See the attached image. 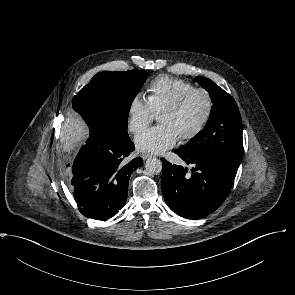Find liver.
Segmentation results:
<instances>
[{"label":"liver","instance_id":"liver-1","mask_svg":"<svg viewBox=\"0 0 295 295\" xmlns=\"http://www.w3.org/2000/svg\"><path fill=\"white\" fill-rule=\"evenodd\" d=\"M88 130L80 117L69 114L62 124L61 143L64 151L72 152L79 143L86 139Z\"/></svg>","mask_w":295,"mask_h":295}]
</instances>
